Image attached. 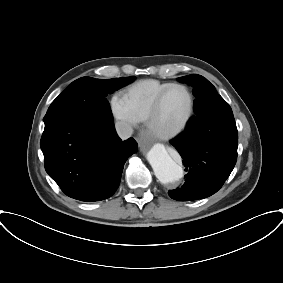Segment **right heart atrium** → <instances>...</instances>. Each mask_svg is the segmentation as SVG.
I'll use <instances>...</instances> for the list:
<instances>
[{"instance_id":"right-heart-atrium-1","label":"right heart atrium","mask_w":283,"mask_h":283,"mask_svg":"<svg viewBox=\"0 0 283 283\" xmlns=\"http://www.w3.org/2000/svg\"><path fill=\"white\" fill-rule=\"evenodd\" d=\"M110 106L114 118L121 123L126 132H131L137 126V121L130 113L122 97L118 95L113 96Z\"/></svg>"}]
</instances>
